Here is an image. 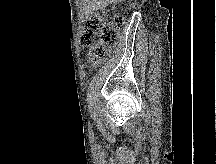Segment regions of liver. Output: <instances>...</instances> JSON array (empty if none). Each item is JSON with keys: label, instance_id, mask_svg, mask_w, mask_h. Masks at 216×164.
I'll return each instance as SVG.
<instances>
[{"label": "liver", "instance_id": "6515ba94", "mask_svg": "<svg viewBox=\"0 0 216 164\" xmlns=\"http://www.w3.org/2000/svg\"><path fill=\"white\" fill-rule=\"evenodd\" d=\"M125 0H86L88 5L86 6V13L92 14L93 11H96L101 8H105L109 4H117Z\"/></svg>", "mask_w": 216, "mask_h": 164}]
</instances>
